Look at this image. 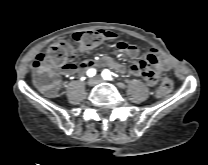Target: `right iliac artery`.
Segmentation results:
<instances>
[{"label":"right iliac artery","instance_id":"obj_1","mask_svg":"<svg viewBox=\"0 0 208 165\" xmlns=\"http://www.w3.org/2000/svg\"><path fill=\"white\" fill-rule=\"evenodd\" d=\"M95 73H96L95 69H89V70L87 71V75H88L89 77L94 76Z\"/></svg>","mask_w":208,"mask_h":165}]
</instances>
